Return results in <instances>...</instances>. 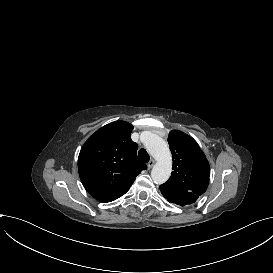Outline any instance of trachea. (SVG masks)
Segmentation results:
<instances>
[{
  "mask_svg": "<svg viewBox=\"0 0 273 273\" xmlns=\"http://www.w3.org/2000/svg\"><path fill=\"white\" fill-rule=\"evenodd\" d=\"M138 159L144 163H147L150 159L149 154L145 149H140L138 152Z\"/></svg>",
  "mask_w": 273,
  "mask_h": 273,
  "instance_id": "3493384b",
  "label": "trachea"
}]
</instances>
